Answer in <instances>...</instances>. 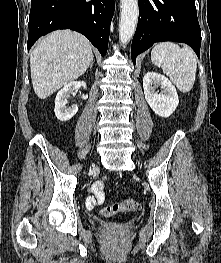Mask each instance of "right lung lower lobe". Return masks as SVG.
I'll use <instances>...</instances> for the list:
<instances>
[{"label":"right lung lower lobe","instance_id":"right-lung-lower-lobe-1","mask_svg":"<svg viewBox=\"0 0 221 263\" xmlns=\"http://www.w3.org/2000/svg\"><path fill=\"white\" fill-rule=\"evenodd\" d=\"M114 0H31L28 50L36 40L57 29H72L107 52Z\"/></svg>","mask_w":221,"mask_h":263}]
</instances>
